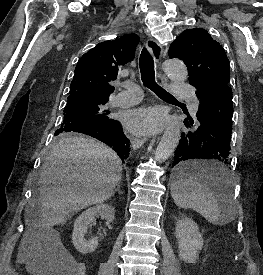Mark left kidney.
Instances as JSON below:
<instances>
[{"instance_id": "left-kidney-1", "label": "left kidney", "mask_w": 263, "mask_h": 275, "mask_svg": "<svg viewBox=\"0 0 263 275\" xmlns=\"http://www.w3.org/2000/svg\"><path fill=\"white\" fill-rule=\"evenodd\" d=\"M175 235L178 240L180 259L195 263L199 257L198 251L203 247V238L198 225L190 218L179 219L176 223Z\"/></svg>"}]
</instances>
